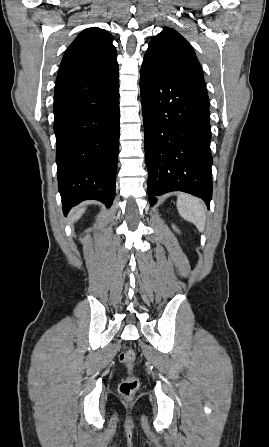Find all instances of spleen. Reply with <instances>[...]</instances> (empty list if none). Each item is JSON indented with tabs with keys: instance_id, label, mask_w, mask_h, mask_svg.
I'll return each mask as SVG.
<instances>
[{
	"instance_id": "1",
	"label": "spleen",
	"mask_w": 269,
	"mask_h": 447,
	"mask_svg": "<svg viewBox=\"0 0 269 447\" xmlns=\"http://www.w3.org/2000/svg\"><path fill=\"white\" fill-rule=\"evenodd\" d=\"M177 210L184 220L195 224L199 231H204L206 214L202 200L180 192L177 196Z\"/></svg>"
}]
</instances>
